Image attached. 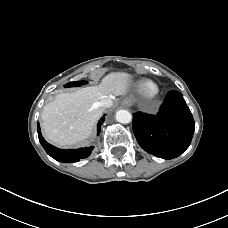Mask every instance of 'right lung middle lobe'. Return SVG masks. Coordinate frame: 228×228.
<instances>
[{
    "mask_svg": "<svg viewBox=\"0 0 228 228\" xmlns=\"http://www.w3.org/2000/svg\"><path fill=\"white\" fill-rule=\"evenodd\" d=\"M85 83H86L85 81L69 82L65 86L66 87L81 86Z\"/></svg>",
    "mask_w": 228,
    "mask_h": 228,
    "instance_id": "obj_1",
    "label": "right lung middle lobe"
}]
</instances>
